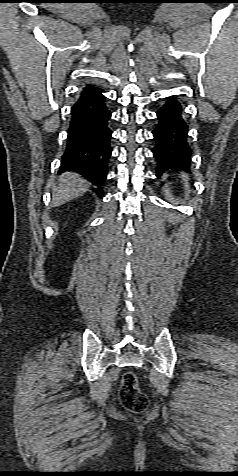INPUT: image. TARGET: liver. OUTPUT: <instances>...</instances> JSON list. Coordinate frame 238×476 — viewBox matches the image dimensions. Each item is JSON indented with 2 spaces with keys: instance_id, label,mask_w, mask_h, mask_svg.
Segmentation results:
<instances>
[{
  "instance_id": "6515ba94",
  "label": "liver",
  "mask_w": 238,
  "mask_h": 476,
  "mask_svg": "<svg viewBox=\"0 0 238 476\" xmlns=\"http://www.w3.org/2000/svg\"><path fill=\"white\" fill-rule=\"evenodd\" d=\"M59 184L53 189L52 207H59L72 199L83 195L89 188V182L75 173H64Z\"/></svg>"
}]
</instances>
